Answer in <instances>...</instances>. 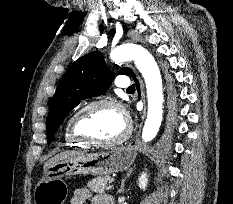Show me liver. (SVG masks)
<instances>
[{
  "mask_svg": "<svg viewBox=\"0 0 233 204\" xmlns=\"http://www.w3.org/2000/svg\"><path fill=\"white\" fill-rule=\"evenodd\" d=\"M83 152H79V151H65L62 152L60 154L55 155L54 157L50 158L45 164H44V171H46V169L53 164L56 161L59 160H63L72 156H76V155H82Z\"/></svg>",
  "mask_w": 233,
  "mask_h": 204,
  "instance_id": "liver-1",
  "label": "liver"
}]
</instances>
